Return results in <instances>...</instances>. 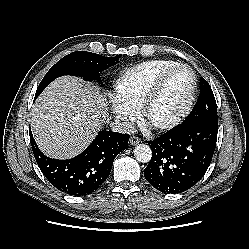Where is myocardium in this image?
Wrapping results in <instances>:
<instances>
[{"instance_id": "myocardium-1", "label": "myocardium", "mask_w": 249, "mask_h": 249, "mask_svg": "<svg viewBox=\"0 0 249 249\" xmlns=\"http://www.w3.org/2000/svg\"><path fill=\"white\" fill-rule=\"evenodd\" d=\"M179 69H187L191 75V85L183 107L170 120L158 124H150L148 122V113L150 108L159 97L168 78ZM196 91H197V77L194 70L189 65L178 63L177 65L168 68L157 78L154 85L151 87V89L143 99L139 107L141 120L144 123L149 124L152 128H154L157 131H167L175 128L176 126L181 124L184 121V119L189 115L195 101Z\"/></svg>"}]
</instances>
